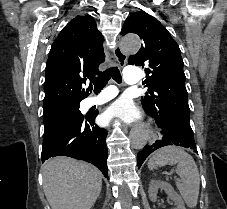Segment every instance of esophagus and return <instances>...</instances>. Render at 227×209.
Instances as JSON below:
<instances>
[{"label":"esophagus","mask_w":227,"mask_h":209,"mask_svg":"<svg viewBox=\"0 0 227 209\" xmlns=\"http://www.w3.org/2000/svg\"><path fill=\"white\" fill-rule=\"evenodd\" d=\"M113 52H114V55L116 57V60H117V62L119 64V66L120 67H124V65L127 62V54L124 53L122 51L121 47H120V36L117 37L116 46L114 47ZM139 121H142V120H139ZM142 122H145V125L147 126L146 127L147 128V132L150 133L149 137L146 138L147 145L148 146H153L154 143L156 142V139H155L156 134L154 133L155 129L152 127V121L151 120H144Z\"/></svg>","instance_id":"esophagus-1"}]
</instances>
